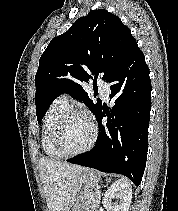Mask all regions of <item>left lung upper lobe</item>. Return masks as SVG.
Returning a JSON list of instances; mask_svg holds the SVG:
<instances>
[{"label": "left lung upper lobe", "instance_id": "left-lung-upper-lobe-1", "mask_svg": "<svg viewBox=\"0 0 178 211\" xmlns=\"http://www.w3.org/2000/svg\"><path fill=\"white\" fill-rule=\"evenodd\" d=\"M135 38L119 17L106 10H94L78 19L64 34L51 40L39 61L35 76V104L40 123L59 94L66 92L83 101L95 114L101 104H94L83 89L94 75L107 81L125 61Z\"/></svg>", "mask_w": 178, "mask_h": 211}]
</instances>
